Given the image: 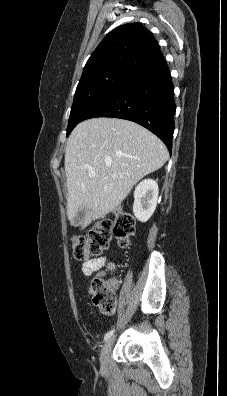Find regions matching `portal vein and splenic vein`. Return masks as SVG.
Masks as SVG:
<instances>
[{"mask_svg":"<svg viewBox=\"0 0 227 396\" xmlns=\"http://www.w3.org/2000/svg\"><path fill=\"white\" fill-rule=\"evenodd\" d=\"M89 176H90V177H95V173H94V172H91Z\"/></svg>","mask_w":227,"mask_h":396,"instance_id":"obj_1","label":"portal vein and splenic vein"}]
</instances>
